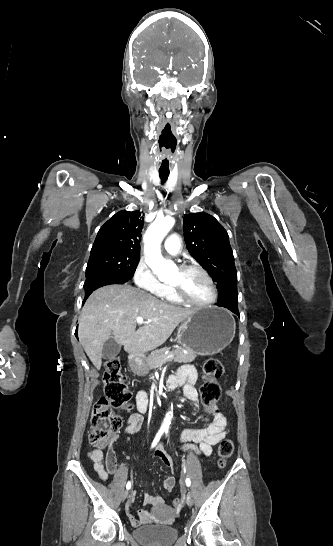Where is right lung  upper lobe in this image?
I'll return each instance as SVG.
<instances>
[{
	"mask_svg": "<svg viewBox=\"0 0 333 546\" xmlns=\"http://www.w3.org/2000/svg\"><path fill=\"white\" fill-rule=\"evenodd\" d=\"M143 217L139 211L122 210L113 215L98 231L92 251L114 249L140 255L139 238Z\"/></svg>",
	"mask_w": 333,
	"mask_h": 546,
	"instance_id": "right-lung-upper-lobe-1",
	"label": "right lung upper lobe"
}]
</instances>
